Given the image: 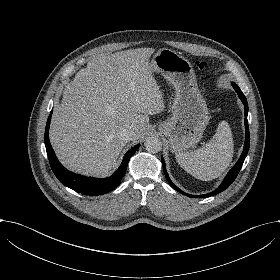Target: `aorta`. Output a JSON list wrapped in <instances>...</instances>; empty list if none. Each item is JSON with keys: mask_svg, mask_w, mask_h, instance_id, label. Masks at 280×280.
<instances>
[{"mask_svg": "<svg viewBox=\"0 0 280 280\" xmlns=\"http://www.w3.org/2000/svg\"><path fill=\"white\" fill-rule=\"evenodd\" d=\"M146 150L150 153H157L162 148L161 139L157 136H149L144 142Z\"/></svg>", "mask_w": 280, "mask_h": 280, "instance_id": "762f6f07", "label": "aorta"}]
</instances>
